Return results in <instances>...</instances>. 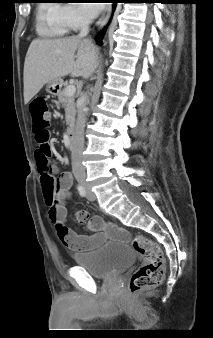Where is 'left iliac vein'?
<instances>
[{
    "label": "left iliac vein",
    "mask_w": 213,
    "mask_h": 338,
    "mask_svg": "<svg viewBox=\"0 0 213 338\" xmlns=\"http://www.w3.org/2000/svg\"><path fill=\"white\" fill-rule=\"evenodd\" d=\"M86 193H87V199L90 201H94L96 199L95 194L90 190L88 185H84Z\"/></svg>",
    "instance_id": "1"
}]
</instances>
